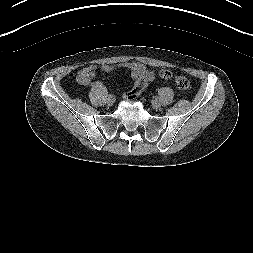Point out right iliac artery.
<instances>
[{"instance_id":"1","label":"right iliac artery","mask_w":253,"mask_h":253,"mask_svg":"<svg viewBox=\"0 0 253 253\" xmlns=\"http://www.w3.org/2000/svg\"><path fill=\"white\" fill-rule=\"evenodd\" d=\"M111 97H112V95H111V94H109V95H108V98H111Z\"/></svg>"}]
</instances>
